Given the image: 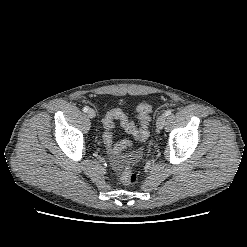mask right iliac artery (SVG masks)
Returning a JSON list of instances; mask_svg holds the SVG:
<instances>
[{"label": "right iliac artery", "instance_id": "right-iliac-artery-1", "mask_svg": "<svg viewBox=\"0 0 247 247\" xmlns=\"http://www.w3.org/2000/svg\"><path fill=\"white\" fill-rule=\"evenodd\" d=\"M83 111H84V112H87V111H88V107L85 106V107L83 108Z\"/></svg>", "mask_w": 247, "mask_h": 247}]
</instances>
